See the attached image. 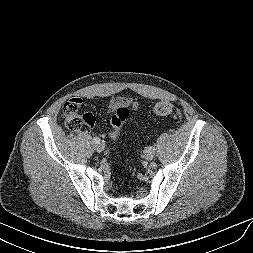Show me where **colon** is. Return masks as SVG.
Listing matches in <instances>:
<instances>
[{
  "mask_svg": "<svg viewBox=\"0 0 253 253\" xmlns=\"http://www.w3.org/2000/svg\"><path fill=\"white\" fill-rule=\"evenodd\" d=\"M153 112L157 116H166L176 111L175 107L168 101H158L152 106ZM130 115V109L127 106L121 105L115 110L112 117V131L110 136L112 139H117L122 124L127 121ZM180 116V113L177 112ZM61 117L70 131H77L83 125L92 126L95 123V117L89 112H84L81 109V100L73 98L67 101L62 109Z\"/></svg>",
  "mask_w": 253,
  "mask_h": 253,
  "instance_id": "5ec220e1",
  "label": "colon"
}]
</instances>
